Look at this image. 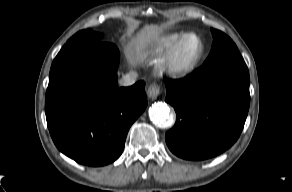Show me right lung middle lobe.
Segmentation results:
<instances>
[{
  "instance_id": "1",
  "label": "right lung middle lobe",
  "mask_w": 292,
  "mask_h": 192,
  "mask_svg": "<svg viewBox=\"0 0 292 192\" xmlns=\"http://www.w3.org/2000/svg\"><path fill=\"white\" fill-rule=\"evenodd\" d=\"M101 39L102 35L97 32L82 30L71 37L64 46L94 44L101 42Z\"/></svg>"
}]
</instances>
